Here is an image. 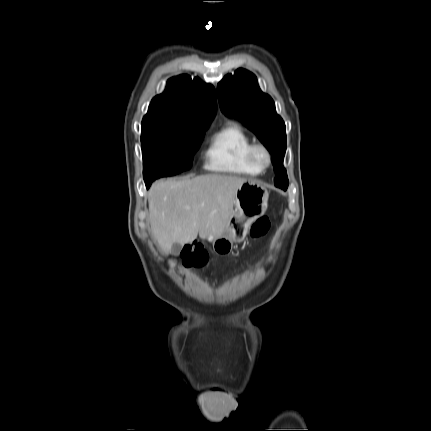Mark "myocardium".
Masks as SVG:
<instances>
[{
    "mask_svg": "<svg viewBox=\"0 0 431 431\" xmlns=\"http://www.w3.org/2000/svg\"><path fill=\"white\" fill-rule=\"evenodd\" d=\"M249 161L261 170L268 168L272 162L270 150L261 143H253L248 150Z\"/></svg>",
    "mask_w": 431,
    "mask_h": 431,
    "instance_id": "obj_1",
    "label": "myocardium"
}]
</instances>
